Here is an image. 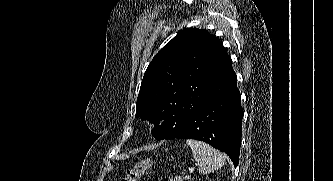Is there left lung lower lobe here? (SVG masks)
<instances>
[{
    "label": "left lung lower lobe",
    "mask_w": 333,
    "mask_h": 181,
    "mask_svg": "<svg viewBox=\"0 0 333 181\" xmlns=\"http://www.w3.org/2000/svg\"><path fill=\"white\" fill-rule=\"evenodd\" d=\"M237 77L231 68L210 90L196 111L167 122L172 126L162 139H196L225 152L236 167L242 137L243 108Z\"/></svg>",
    "instance_id": "left-lung-lower-lobe-1"
}]
</instances>
